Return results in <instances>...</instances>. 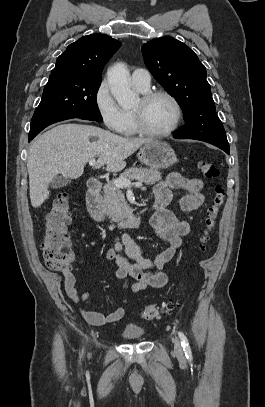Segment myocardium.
<instances>
[{"instance_id": "myocardium-1", "label": "myocardium", "mask_w": 265, "mask_h": 407, "mask_svg": "<svg viewBox=\"0 0 265 407\" xmlns=\"http://www.w3.org/2000/svg\"><path fill=\"white\" fill-rule=\"evenodd\" d=\"M157 97H164L167 98L174 106L175 108V119L172 125L165 131L162 132H153L148 130L143 121V113L142 110H132V116H133V125L135 128V131L148 138H165L170 136L172 133L176 131V129L179 127L182 117H183V110L182 106L179 102V100L170 92L165 91V90H152V91H146L143 96L141 97V103L142 105H146L152 100H154Z\"/></svg>"}]
</instances>
